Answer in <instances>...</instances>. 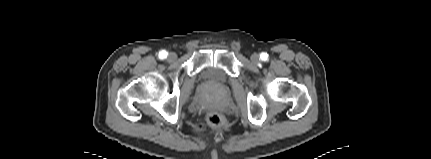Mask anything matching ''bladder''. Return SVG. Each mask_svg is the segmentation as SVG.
<instances>
[{
  "label": "bladder",
  "instance_id": "1",
  "mask_svg": "<svg viewBox=\"0 0 431 159\" xmlns=\"http://www.w3.org/2000/svg\"><path fill=\"white\" fill-rule=\"evenodd\" d=\"M202 82L213 87H219L227 83L228 76L226 72L218 66H207L201 73Z\"/></svg>",
  "mask_w": 431,
  "mask_h": 159
}]
</instances>
